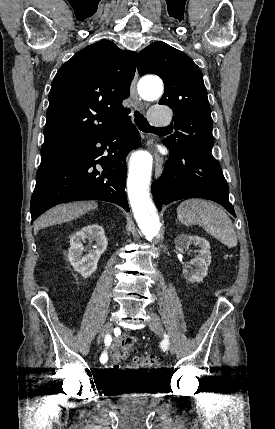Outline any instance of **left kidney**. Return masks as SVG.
Segmentation results:
<instances>
[{
	"label": "left kidney",
	"instance_id": "obj_1",
	"mask_svg": "<svg viewBox=\"0 0 275 429\" xmlns=\"http://www.w3.org/2000/svg\"><path fill=\"white\" fill-rule=\"evenodd\" d=\"M191 244L199 246V255L190 261L195 269L183 268V276L189 282H201L206 277L211 263L210 244L205 238L187 234H180L175 240V248L179 252H183Z\"/></svg>",
	"mask_w": 275,
	"mask_h": 429
}]
</instances>
